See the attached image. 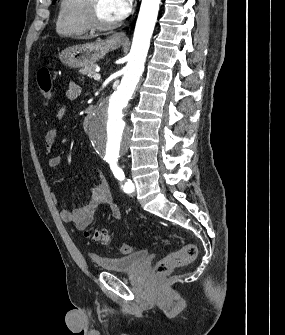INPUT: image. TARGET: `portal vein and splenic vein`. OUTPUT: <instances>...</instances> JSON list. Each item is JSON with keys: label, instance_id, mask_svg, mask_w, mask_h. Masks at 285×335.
Returning <instances> with one entry per match:
<instances>
[{"label": "portal vein and splenic vein", "instance_id": "portal-vein-and-splenic-vein-1", "mask_svg": "<svg viewBox=\"0 0 285 335\" xmlns=\"http://www.w3.org/2000/svg\"><path fill=\"white\" fill-rule=\"evenodd\" d=\"M96 72H97V70H96ZM93 78H94V80H100L101 76H100V74H94Z\"/></svg>", "mask_w": 285, "mask_h": 335}]
</instances>
